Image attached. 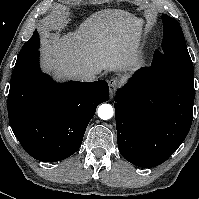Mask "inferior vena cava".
<instances>
[{"label":"inferior vena cava","instance_id":"obj_1","mask_svg":"<svg viewBox=\"0 0 199 199\" xmlns=\"http://www.w3.org/2000/svg\"><path fill=\"white\" fill-rule=\"evenodd\" d=\"M99 69H86L80 72L79 79L82 81H93L96 79V74H99Z\"/></svg>","mask_w":199,"mask_h":199}]
</instances>
